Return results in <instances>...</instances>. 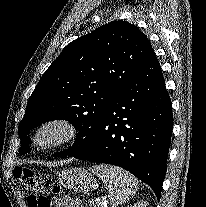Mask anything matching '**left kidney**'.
Returning <instances> with one entry per match:
<instances>
[{"mask_svg": "<svg viewBox=\"0 0 206 207\" xmlns=\"http://www.w3.org/2000/svg\"><path fill=\"white\" fill-rule=\"evenodd\" d=\"M128 207H146V203L144 201H139L133 206H128Z\"/></svg>", "mask_w": 206, "mask_h": 207, "instance_id": "obj_1", "label": "left kidney"}]
</instances>
